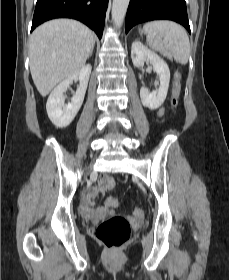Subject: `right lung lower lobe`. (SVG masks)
I'll use <instances>...</instances> for the list:
<instances>
[{"mask_svg":"<svg viewBox=\"0 0 229 280\" xmlns=\"http://www.w3.org/2000/svg\"><path fill=\"white\" fill-rule=\"evenodd\" d=\"M107 5L108 0H37L31 31L50 19L73 18L86 24L101 38Z\"/></svg>","mask_w":229,"mask_h":280,"instance_id":"98d812e1","label":"right lung lower lobe"}]
</instances>
